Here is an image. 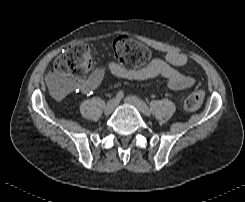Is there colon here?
<instances>
[{
	"label": "colon",
	"instance_id": "1",
	"mask_svg": "<svg viewBox=\"0 0 245 202\" xmlns=\"http://www.w3.org/2000/svg\"><path fill=\"white\" fill-rule=\"evenodd\" d=\"M114 55L119 64L128 69L144 66L150 59L151 52L147 45L130 35H122L113 42ZM93 69L89 48L85 43L69 46L55 60L53 83L63 89L71 88V81L86 77ZM205 91L196 90L184 100L185 111L193 112L199 108Z\"/></svg>",
	"mask_w": 245,
	"mask_h": 202
}]
</instances>
